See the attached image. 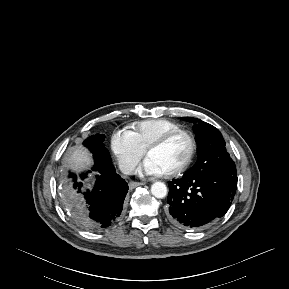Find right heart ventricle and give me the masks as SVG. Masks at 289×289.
Returning a JSON list of instances; mask_svg holds the SVG:
<instances>
[{"label":"right heart ventricle","mask_w":289,"mask_h":289,"mask_svg":"<svg viewBox=\"0 0 289 289\" xmlns=\"http://www.w3.org/2000/svg\"><path fill=\"white\" fill-rule=\"evenodd\" d=\"M181 129L182 127L176 122L159 118L136 123L133 127V133L136 136L139 145L145 151L149 145L162 136Z\"/></svg>","instance_id":"1"}]
</instances>
